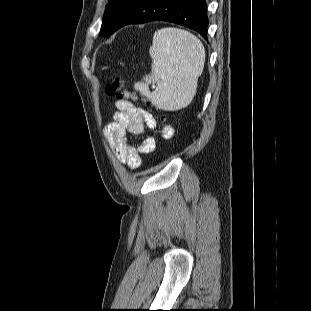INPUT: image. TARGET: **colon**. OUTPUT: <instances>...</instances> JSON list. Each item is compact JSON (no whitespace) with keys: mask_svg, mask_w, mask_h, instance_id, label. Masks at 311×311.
Instances as JSON below:
<instances>
[{"mask_svg":"<svg viewBox=\"0 0 311 311\" xmlns=\"http://www.w3.org/2000/svg\"><path fill=\"white\" fill-rule=\"evenodd\" d=\"M106 91L108 95L117 97L119 99L122 98H131L134 100L140 99L135 92L124 88L123 81L119 77H114L112 79V81L107 85ZM142 101H144L147 106L151 105V102L147 99H142ZM158 121L160 123H165L166 117L163 114H160V116L158 117Z\"/></svg>","mask_w":311,"mask_h":311,"instance_id":"obj_1","label":"colon"}]
</instances>
